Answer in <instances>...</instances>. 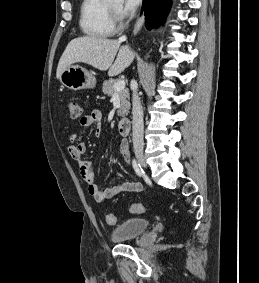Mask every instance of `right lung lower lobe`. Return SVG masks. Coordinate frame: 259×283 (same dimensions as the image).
<instances>
[{
  "mask_svg": "<svg viewBox=\"0 0 259 283\" xmlns=\"http://www.w3.org/2000/svg\"><path fill=\"white\" fill-rule=\"evenodd\" d=\"M171 0H143L142 10L145 11L146 27L152 29L158 25L168 12Z\"/></svg>",
  "mask_w": 259,
  "mask_h": 283,
  "instance_id": "obj_1",
  "label": "right lung lower lobe"
}]
</instances>
